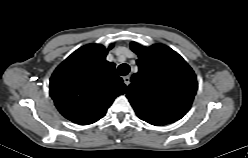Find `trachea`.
I'll return each mask as SVG.
<instances>
[{
  "label": "trachea",
  "instance_id": "trachea-1",
  "mask_svg": "<svg viewBox=\"0 0 248 158\" xmlns=\"http://www.w3.org/2000/svg\"><path fill=\"white\" fill-rule=\"evenodd\" d=\"M130 71V67L128 64H121L119 67H118V74L120 76H125L129 73Z\"/></svg>",
  "mask_w": 248,
  "mask_h": 158
}]
</instances>
